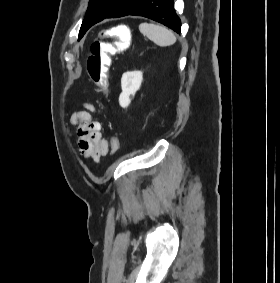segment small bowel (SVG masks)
<instances>
[{
    "instance_id": "1",
    "label": "small bowel",
    "mask_w": 280,
    "mask_h": 283,
    "mask_svg": "<svg viewBox=\"0 0 280 283\" xmlns=\"http://www.w3.org/2000/svg\"><path fill=\"white\" fill-rule=\"evenodd\" d=\"M95 111L93 105L86 104L84 110L77 111L71 116V123L77 136L80 155L98 162L109 152H115L113 145L118 139L113 137L109 141L103 137L101 123L92 115Z\"/></svg>"
}]
</instances>
